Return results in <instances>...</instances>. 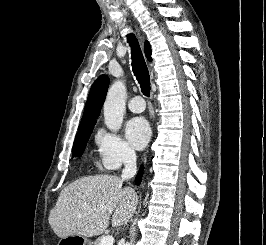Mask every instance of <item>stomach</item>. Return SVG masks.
<instances>
[{
	"label": "stomach",
	"instance_id": "obj_1",
	"mask_svg": "<svg viewBox=\"0 0 266 245\" xmlns=\"http://www.w3.org/2000/svg\"><path fill=\"white\" fill-rule=\"evenodd\" d=\"M61 242H76L77 245H92L86 237H61Z\"/></svg>",
	"mask_w": 266,
	"mask_h": 245
}]
</instances>
